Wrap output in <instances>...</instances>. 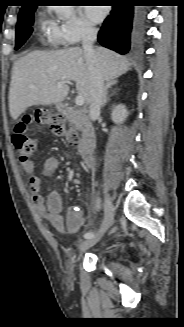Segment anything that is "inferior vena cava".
<instances>
[{"label":"inferior vena cava","instance_id":"602c4592","mask_svg":"<svg viewBox=\"0 0 184 327\" xmlns=\"http://www.w3.org/2000/svg\"><path fill=\"white\" fill-rule=\"evenodd\" d=\"M96 38L97 30L91 26L85 27L82 36V47L88 61L90 72L91 98L89 105V115L91 118L99 115L105 91L104 79L102 76L100 63L93 48V44Z\"/></svg>","mask_w":184,"mask_h":327}]
</instances>
